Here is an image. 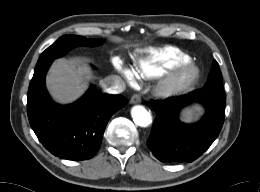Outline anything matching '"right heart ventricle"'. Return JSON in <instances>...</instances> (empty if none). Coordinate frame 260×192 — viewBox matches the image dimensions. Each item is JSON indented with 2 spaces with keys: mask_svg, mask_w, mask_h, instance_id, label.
<instances>
[{
  "mask_svg": "<svg viewBox=\"0 0 260 192\" xmlns=\"http://www.w3.org/2000/svg\"><path fill=\"white\" fill-rule=\"evenodd\" d=\"M188 60L189 56L185 52L178 48L167 47L153 51L147 58L140 60L136 70L142 77L156 78Z\"/></svg>",
  "mask_w": 260,
  "mask_h": 192,
  "instance_id": "1",
  "label": "right heart ventricle"
}]
</instances>
